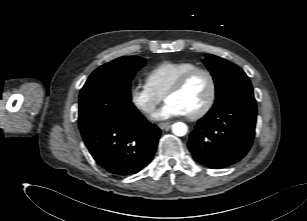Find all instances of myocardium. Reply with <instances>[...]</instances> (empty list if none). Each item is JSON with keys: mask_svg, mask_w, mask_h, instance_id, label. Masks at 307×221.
<instances>
[{"mask_svg": "<svg viewBox=\"0 0 307 221\" xmlns=\"http://www.w3.org/2000/svg\"><path fill=\"white\" fill-rule=\"evenodd\" d=\"M196 74H204L208 77L210 82V95L207 102L200 110H198L195 113L186 115V117L190 120H198L204 117L206 114L209 113V111L214 106L217 97V80L214 73L211 70L207 68L197 67L195 69L186 72L175 81V83L168 89V91L164 96L166 100L168 96L176 94L179 91H181L190 81V79L194 77Z\"/></svg>", "mask_w": 307, "mask_h": 221, "instance_id": "myocardium-1", "label": "myocardium"}]
</instances>
